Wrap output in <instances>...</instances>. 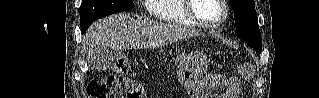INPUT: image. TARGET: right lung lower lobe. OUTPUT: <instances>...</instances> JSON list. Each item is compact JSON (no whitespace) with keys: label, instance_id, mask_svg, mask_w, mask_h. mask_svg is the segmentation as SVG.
<instances>
[{"label":"right lung lower lobe","instance_id":"1","mask_svg":"<svg viewBox=\"0 0 319 98\" xmlns=\"http://www.w3.org/2000/svg\"><path fill=\"white\" fill-rule=\"evenodd\" d=\"M91 24H92V22L89 23V24H86V25H84V26H81V31H82V33H85L86 30L88 29V27H89Z\"/></svg>","mask_w":319,"mask_h":98}]
</instances>
